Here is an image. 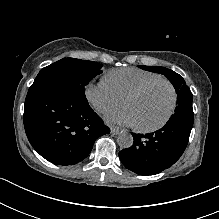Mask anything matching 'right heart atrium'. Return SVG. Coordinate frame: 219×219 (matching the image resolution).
<instances>
[{
	"mask_svg": "<svg viewBox=\"0 0 219 219\" xmlns=\"http://www.w3.org/2000/svg\"><path fill=\"white\" fill-rule=\"evenodd\" d=\"M85 97L93 109L103 115L111 114L122 106L103 79L98 84H89L85 89Z\"/></svg>",
	"mask_w": 219,
	"mask_h": 219,
	"instance_id": "d8ad5b80",
	"label": "right heart atrium"
}]
</instances>
